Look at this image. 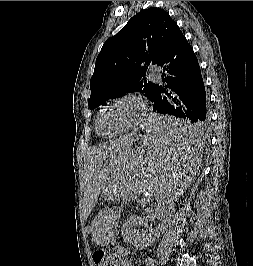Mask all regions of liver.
I'll return each mask as SVG.
<instances>
[{
  "label": "liver",
  "mask_w": 253,
  "mask_h": 266,
  "mask_svg": "<svg viewBox=\"0 0 253 266\" xmlns=\"http://www.w3.org/2000/svg\"><path fill=\"white\" fill-rule=\"evenodd\" d=\"M131 139V137H125L122 139L111 141L109 143L99 145L98 147H95L89 152L85 161L86 178L88 179V181L93 179V185L98 186V190L100 189L98 182H100L99 174L101 173V166L103 161L106 158L110 156L113 157L118 152H120L124 145L127 144Z\"/></svg>",
  "instance_id": "liver-1"
}]
</instances>
